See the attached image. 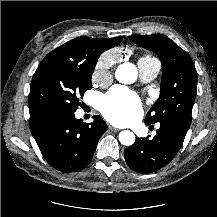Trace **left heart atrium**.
<instances>
[{
	"label": "left heart atrium",
	"instance_id": "39dd6f15",
	"mask_svg": "<svg viewBox=\"0 0 217 217\" xmlns=\"http://www.w3.org/2000/svg\"><path fill=\"white\" fill-rule=\"evenodd\" d=\"M100 110L108 121L127 125L140 116L142 107L135 93L122 86H116L103 97Z\"/></svg>",
	"mask_w": 217,
	"mask_h": 217
}]
</instances>
